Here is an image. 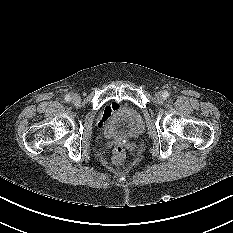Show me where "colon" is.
Wrapping results in <instances>:
<instances>
[{
  "mask_svg": "<svg viewBox=\"0 0 233 233\" xmlns=\"http://www.w3.org/2000/svg\"><path fill=\"white\" fill-rule=\"evenodd\" d=\"M126 158L125 150L122 146L114 147L112 151V163L115 165L122 164Z\"/></svg>",
  "mask_w": 233,
  "mask_h": 233,
  "instance_id": "1",
  "label": "colon"
}]
</instances>
